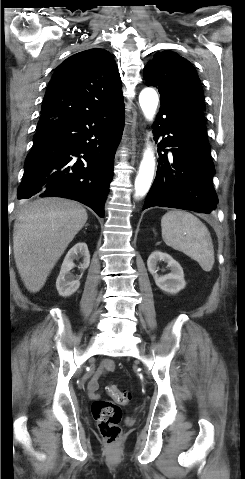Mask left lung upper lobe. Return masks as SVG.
<instances>
[{"instance_id":"1","label":"left lung upper lobe","mask_w":245,"mask_h":479,"mask_svg":"<svg viewBox=\"0 0 245 479\" xmlns=\"http://www.w3.org/2000/svg\"><path fill=\"white\" fill-rule=\"evenodd\" d=\"M147 86L158 87L161 103H196L204 109L200 80L192 64L172 51L157 52L144 69Z\"/></svg>"}]
</instances>
